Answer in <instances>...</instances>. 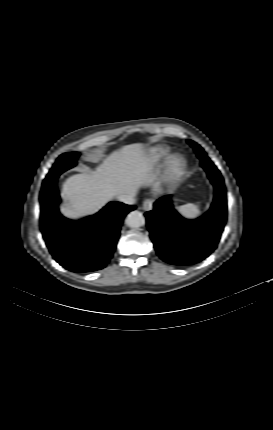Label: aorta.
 I'll return each mask as SVG.
<instances>
[{"mask_svg":"<svg viewBox=\"0 0 273 430\" xmlns=\"http://www.w3.org/2000/svg\"><path fill=\"white\" fill-rule=\"evenodd\" d=\"M125 223L131 228H139L145 224V218L141 212L134 210L128 214Z\"/></svg>","mask_w":273,"mask_h":430,"instance_id":"1","label":"aorta"}]
</instances>
